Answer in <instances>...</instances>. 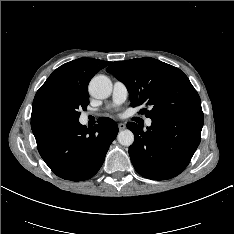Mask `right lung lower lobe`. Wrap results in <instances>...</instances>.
Here are the masks:
<instances>
[{
	"label": "right lung lower lobe",
	"instance_id": "right-lung-lower-lobe-1",
	"mask_svg": "<svg viewBox=\"0 0 234 234\" xmlns=\"http://www.w3.org/2000/svg\"><path fill=\"white\" fill-rule=\"evenodd\" d=\"M31 128L48 167L71 181L87 180L98 172L119 131L117 124L106 117L99 118L92 129L79 121L44 117L33 120Z\"/></svg>",
	"mask_w": 234,
	"mask_h": 234
}]
</instances>
